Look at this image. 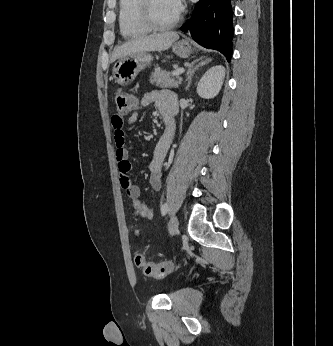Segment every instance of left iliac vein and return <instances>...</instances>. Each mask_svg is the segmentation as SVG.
<instances>
[{
  "label": "left iliac vein",
  "instance_id": "4c4485c4",
  "mask_svg": "<svg viewBox=\"0 0 333 346\" xmlns=\"http://www.w3.org/2000/svg\"><path fill=\"white\" fill-rule=\"evenodd\" d=\"M168 231L170 235H175L178 231V218L177 216H173L168 224Z\"/></svg>",
  "mask_w": 333,
  "mask_h": 346
}]
</instances>
